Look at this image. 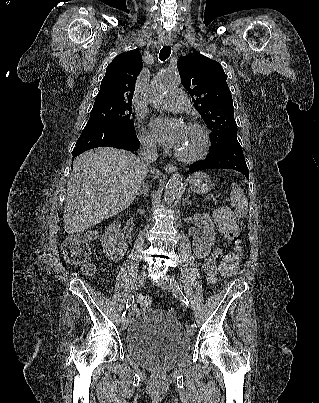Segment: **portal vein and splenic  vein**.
I'll return each instance as SVG.
<instances>
[{
  "mask_svg": "<svg viewBox=\"0 0 319 403\" xmlns=\"http://www.w3.org/2000/svg\"><path fill=\"white\" fill-rule=\"evenodd\" d=\"M211 198H212V200H213L214 202H217L216 198H214L213 196H211Z\"/></svg>",
  "mask_w": 319,
  "mask_h": 403,
  "instance_id": "1",
  "label": "portal vein and splenic vein"
}]
</instances>
